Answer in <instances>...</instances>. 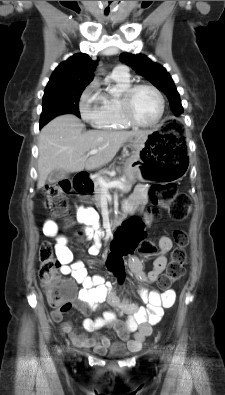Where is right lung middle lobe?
Here are the masks:
<instances>
[{
    "mask_svg": "<svg viewBox=\"0 0 225 395\" xmlns=\"http://www.w3.org/2000/svg\"><path fill=\"white\" fill-rule=\"evenodd\" d=\"M85 87L86 85L46 87L40 127L61 114L72 113L80 117L79 99Z\"/></svg>",
    "mask_w": 225,
    "mask_h": 395,
    "instance_id": "obj_1",
    "label": "right lung middle lobe"
}]
</instances>
